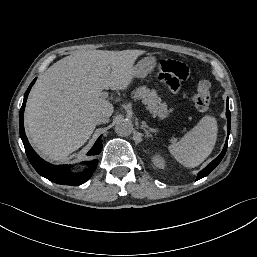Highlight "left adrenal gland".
<instances>
[{
    "label": "left adrenal gland",
    "instance_id": "a2214340",
    "mask_svg": "<svg viewBox=\"0 0 257 257\" xmlns=\"http://www.w3.org/2000/svg\"><path fill=\"white\" fill-rule=\"evenodd\" d=\"M141 128L144 130L145 135H146L147 137H152L151 132H153V133H156V132H157L155 129H152V128L148 129V126L146 125V122H145V121H142Z\"/></svg>",
    "mask_w": 257,
    "mask_h": 257
}]
</instances>
